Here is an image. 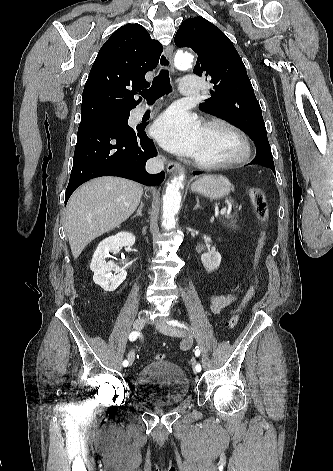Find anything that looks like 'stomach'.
<instances>
[{"label": "stomach", "mask_w": 333, "mask_h": 471, "mask_svg": "<svg viewBox=\"0 0 333 471\" xmlns=\"http://www.w3.org/2000/svg\"><path fill=\"white\" fill-rule=\"evenodd\" d=\"M191 190L210 199L218 200L229 194L231 183L222 175H203L192 184Z\"/></svg>", "instance_id": "stomach-1"}]
</instances>
